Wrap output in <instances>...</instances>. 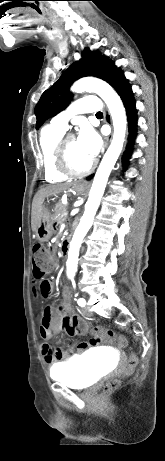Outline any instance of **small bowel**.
I'll return each instance as SVG.
<instances>
[{"mask_svg": "<svg viewBox=\"0 0 165 461\" xmlns=\"http://www.w3.org/2000/svg\"><path fill=\"white\" fill-rule=\"evenodd\" d=\"M54 289L55 284L51 280L44 279L39 285V292L44 298L51 297ZM71 296L70 289L65 287L59 309L55 310L53 307L48 306L43 310L39 332L44 340H49L53 335L62 331L71 336L83 335L88 331L86 322L81 317L72 314L69 310ZM102 342L103 337L101 333H98L97 336L80 337V346H76V353L92 354L101 348ZM41 353L45 363L53 367L71 358L74 354V347L63 350L59 346L52 347L48 343H43L41 345Z\"/></svg>", "mask_w": 165, "mask_h": 461, "instance_id": "small-bowel-1", "label": "small bowel"}]
</instances>
